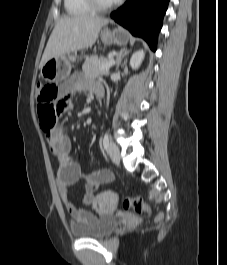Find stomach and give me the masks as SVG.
Instances as JSON below:
<instances>
[{"label": "stomach", "instance_id": "obj_1", "mask_svg": "<svg viewBox=\"0 0 227 265\" xmlns=\"http://www.w3.org/2000/svg\"><path fill=\"white\" fill-rule=\"evenodd\" d=\"M103 43L110 45H125L128 42V34L120 27L113 30L104 29L101 31ZM76 60L73 53H68L62 57L49 59L41 68V77L48 82H59L66 79L71 72L72 62Z\"/></svg>", "mask_w": 227, "mask_h": 265}]
</instances>
